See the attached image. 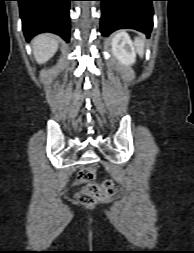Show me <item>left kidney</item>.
Masks as SVG:
<instances>
[{
    "mask_svg": "<svg viewBox=\"0 0 194 253\" xmlns=\"http://www.w3.org/2000/svg\"><path fill=\"white\" fill-rule=\"evenodd\" d=\"M112 52L118 61L126 66L135 63L136 53L129 36L125 32L117 33L112 39Z\"/></svg>",
    "mask_w": 194,
    "mask_h": 253,
    "instance_id": "1",
    "label": "left kidney"
}]
</instances>
